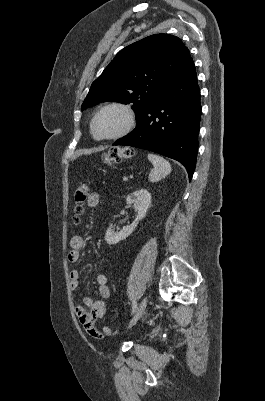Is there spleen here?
<instances>
[{"instance_id":"spleen-1","label":"spleen","mask_w":265,"mask_h":401,"mask_svg":"<svg viewBox=\"0 0 265 401\" xmlns=\"http://www.w3.org/2000/svg\"><path fill=\"white\" fill-rule=\"evenodd\" d=\"M150 162H152L154 168L149 172L150 182H158L161 178H165L169 172H171V164L168 160H165L163 156L158 154H148Z\"/></svg>"}]
</instances>
